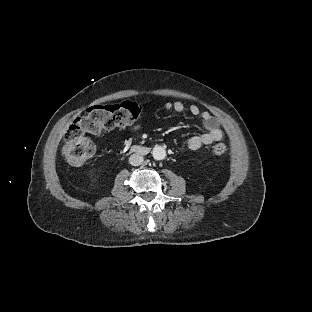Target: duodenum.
<instances>
[{"mask_svg": "<svg viewBox=\"0 0 312 312\" xmlns=\"http://www.w3.org/2000/svg\"><path fill=\"white\" fill-rule=\"evenodd\" d=\"M131 150L139 155H143L147 152V148L145 146L142 145H134L131 147Z\"/></svg>", "mask_w": 312, "mask_h": 312, "instance_id": "obj_1", "label": "duodenum"}]
</instances>
